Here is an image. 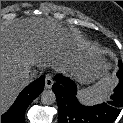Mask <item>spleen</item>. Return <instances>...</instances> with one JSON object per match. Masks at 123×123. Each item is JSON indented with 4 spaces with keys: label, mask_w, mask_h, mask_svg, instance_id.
<instances>
[{
    "label": "spleen",
    "mask_w": 123,
    "mask_h": 123,
    "mask_svg": "<svg viewBox=\"0 0 123 123\" xmlns=\"http://www.w3.org/2000/svg\"><path fill=\"white\" fill-rule=\"evenodd\" d=\"M115 85L116 79L112 75H105L93 86L80 90L77 96L83 104H98L108 99Z\"/></svg>",
    "instance_id": "1"
}]
</instances>
